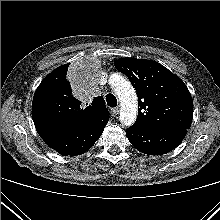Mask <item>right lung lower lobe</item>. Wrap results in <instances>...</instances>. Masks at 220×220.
<instances>
[{
  "label": "right lung lower lobe",
  "mask_w": 220,
  "mask_h": 220,
  "mask_svg": "<svg viewBox=\"0 0 220 220\" xmlns=\"http://www.w3.org/2000/svg\"><path fill=\"white\" fill-rule=\"evenodd\" d=\"M108 121L109 115H101L75 129L45 132L39 135L50 148L59 154L76 156L85 153L95 144Z\"/></svg>",
  "instance_id": "1"
}]
</instances>
